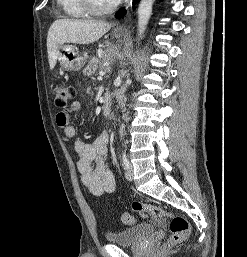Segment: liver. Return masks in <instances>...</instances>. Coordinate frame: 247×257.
<instances>
[{"label":"liver","instance_id":"6515ba94","mask_svg":"<svg viewBox=\"0 0 247 257\" xmlns=\"http://www.w3.org/2000/svg\"><path fill=\"white\" fill-rule=\"evenodd\" d=\"M111 28L103 21L58 19L49 28L47 52L50 69L53 70L64 43L90 44L100 39Z\"/></svg>","mask_w":247,"mask_h":257}]
</instances>
